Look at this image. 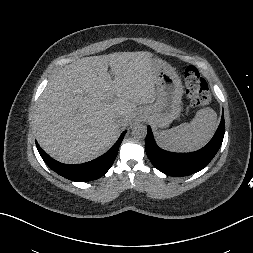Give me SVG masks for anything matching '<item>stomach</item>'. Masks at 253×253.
<instances>
[{
  "label": "stomach",
  "instance_id": "obj_1",
  "mask_svg": "<svg viewBox=\"0 0 253 253\" xmlns=\"http://www.w3.org/2000/svg\"><path fill=\"white\" fill-rule=\"evenodd\" d=\"M153 76L157 99L144 113L155 127L166 128L180 115L183 87L175 70L163 60L154 59Z\"/></svg>",
  "mask_w": 253,
  "mask_h": 253
}]
</instances>
